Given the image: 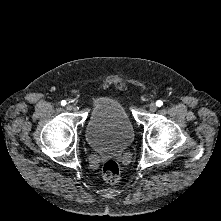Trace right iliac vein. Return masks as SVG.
<instances>
[{
	"label": "right iliac vein",
	"instance_id": "1",
	"mask_svg": "<svg viewBox=\"0 0 221 221\" xmlns=\"http://www.w3.org/2000/svg\"><path fill=\"white\" fill-rule=\"evenodd\" d=\"M66 109H67L68 111H71V110L73 109L72 104H67V105H66Z\"/></svg>",
	"mask_w": 221,
	"mask_h": 221
}]
</instances>
